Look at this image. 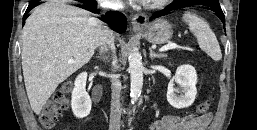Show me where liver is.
<instances>
[{
  "instance_id": "liver-1",
  "label": "liver",
  "mask_w": 257,
  "mask_h": 130,
  "mask_svg": "<svg viewBox=\"0 0 257 130\" xmlns=\"http://www.w3.org/2000/svg\"><path fill=\"white\" fill-rule=\"evenodd\" d=\"M102 22L57 0L38 7L22 31V69L32 110L40 114L58 85L87 64L98 46ZM73 59V63H68Z\"/></svg>"
}]
</instances>
